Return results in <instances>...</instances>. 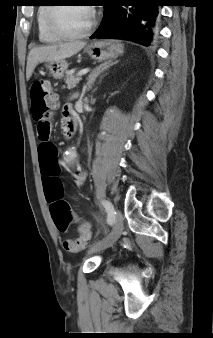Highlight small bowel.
Listing matches in <instances>:
<instances>
[{
  "label": "small bowel",
  "instance_id": "c3829d8e",
  "mask_svg": "<svg viewBox=\"0 0 213 338\" xmlns=\"http://www.w3.org/2000/svg\"><path fill=\"white\" fill-rule=\"evenodd\" d=\"M72 111H73V108L71 104H66L63 107V116L65 119V123L69 121L72 115ZM43 122L50 123L48 118L43 119ZM65 134L70 135L71 133L68 134L65 132ZM44 144H50V143L48 141H43L41 144V147ZM39 162H40V172L42 175L43 186H44L45 200L49 206L50 214L52 216V212H51L52 206L62 201L59 197L63 190V183H62L60 172H59L60 164L57 160L55 152H52L50 156H46L41 150L39 154ZM73 176L78 186L83 184L84 179H85V174L83 171L75 170L73 172ZM69 225H70L69 221L64 227H60L56 224L57 228L62 232H67L69 229Z\"/></svg>",
  "mask_w": 213,
  "mask_h": 338
}]
</instances>
